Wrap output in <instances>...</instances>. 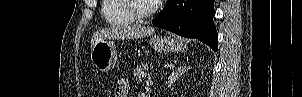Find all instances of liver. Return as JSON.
Segmentation results:
<instances>
[{
  "mask_svg": "<svg viewBox=\"0 0 302 97\" xmlns=\"http://www.w3.org/2000/svg\"><path fill=\"white\" fill-rule=\"evenodd\" d=\"M155 32L153 27L141 25H121L96 31L91 39V48L100 39H141Z\"/></svg>",
  "mask_w": 302,
  "mask_h": 97,
  "instance_id": "obj_1",
  "label": "liver"
}]
</instances>
